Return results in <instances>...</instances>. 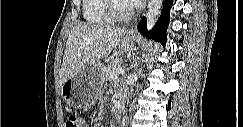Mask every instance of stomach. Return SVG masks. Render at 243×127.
I'll return each mask as SVG.
<instances>
[{"label": "stomach", "mask_w": 243, "mask_h": 127, "mask_svg": "<svg viewBox=\"0 0 243 127\" xmlns=\"http://www.w3.org/2000/svg\"><path fill=\"white\" fill-rule=\"evenodd\" d=\"M137 35H125L119 41L123 51L135 48ZM105 66L95 62L86 66L73 77L68 78L61 86V95L65 103L75 109H87L98 99L105 80Z\"/></svg>", "instance_id": "1"}]
</instances>
